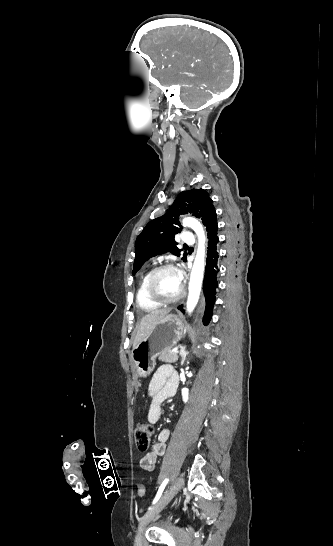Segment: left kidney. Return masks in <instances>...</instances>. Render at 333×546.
Here are the masks:
<instances>
[{"label": "left kidney", "instance_id": "1", "mask_svg": "<svg viewBox=\"0 0 333 546\" xmlns=\"http://www.w3.org/2000/svg\"><path fill=\"white\" fill-rule=\"evenodd\" d=\"M188 397H189V390L187 388H183L182 389V398H183V401L184 402H187L188 401Z\"/></svg>", "mask_w": 333, "mask_h": 546}]
</instances>
